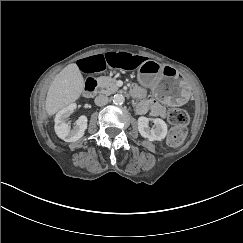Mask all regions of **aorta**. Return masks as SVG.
<instances>
[{
	"mask_svg": "<svg viewBox=\"0 0 243 243\" xmlns=\"http://www.w3.org/2000/svg\"><path fill=\"white\" fill-rule=\"evenodd\" d=\"M112 101L115 105H122L125 102V97L118 93L112 97Z\"/></svg>",
	"mask_w": 243,
	"mask_h": 243,
	"instance_id": "762f6f07",
	"label": "aorta"
}]
</instances>
